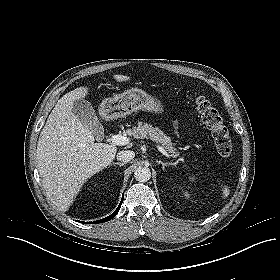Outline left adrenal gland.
<instances>
[{"mask_svg":"<svg viewBox=\"0 0 280 280\" xmlns=\"http://www.w3.org/2000/svg\"><path fill=\"white\" fill-rule=\"evenodd\" d=\"M158 164H161L163 169H165V166H168V165H174V163L172 162H162L161 160H157L156 161Z\"/></svg>","mask_w":280,"mask_h":280,"instance_id":"left-adrenal-gland-1","label":"left adrenal gland"}]
</instances>
